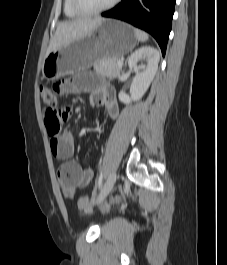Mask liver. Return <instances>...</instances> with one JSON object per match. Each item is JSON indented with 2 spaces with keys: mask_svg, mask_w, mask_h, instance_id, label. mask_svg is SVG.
I'll list each match as a JSON object with an SVG mask.
<instances>
[{
  "mask_svg": "<svg viewBox=\"0 0 227 265\" xmlns=\"http://www.w3.org/2000/svg\"><path fill=\"white\" fill-rule=\"evenodd\" d=\"M104 20L100 17L94 19L81 18L59 23L48 46L46 56L57 47L91 34Z\"/></svg>",
  "mask_w": 227,
  "mask_h": 265,
  "instance_id": "obj_1",
  "label": "liver"
}]
</instances>
